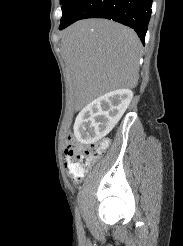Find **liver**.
Masks as SVG:
<instances>
[{"label":"liver","mask_w":183,"mask_h":246,"mask_svg":"<svg viewBox=\"0 0 183 246\" xmlns=\"http://www.w3.org/2000/svg\"><path fill=\"white\" fill-rule=\"evenodd\" d=\"M142 44L130 28L106 19L81 20L61 34V50L76 99L97 97L138 85Z\"/></svg>","instance_id":"6515ba94"}]
</instances>
